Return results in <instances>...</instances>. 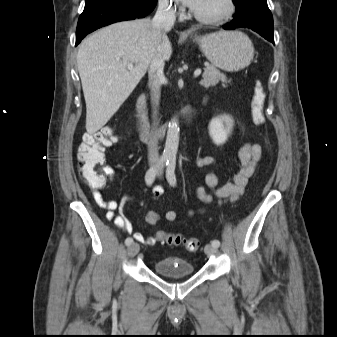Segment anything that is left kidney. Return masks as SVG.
<instances>
[{
  "mask_svg": "<svg viewBox=\"0 0 337 337\" xmlns=\"http://www.w3.org/2000/svg\"><path fill=\"white\" fill-rule=\"evenodd\" d=\"M233 127V119L228 115L216 117L209 124V135L217 145L225 143Z\"/></svg>",
  "mask_w": 337,
  "mask_h": 337,
  "instance_id": "1",
  "label": "left kidney"
}]
</instances>
